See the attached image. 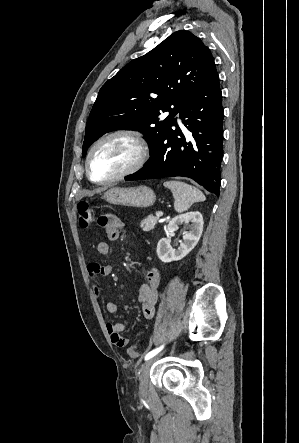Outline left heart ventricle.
<instances>
[{
	"instance_id": "1",
	"label": "left heart ventricle",
	"mask_w": 299,
	"mask_h": 443,
	"mask_svg": "<svg viewBox=\"0 0 299 443\" xmlns=\"http://www.w3.org/2000/svg\"><path fill=\"white\" fill-rule=\"evenodd\" d=\"M134 143L123 137L106 140L95 150L91 160V174L102 180L114 176L127 168L136 158Z\"/></svg>"
}]
</instances>
